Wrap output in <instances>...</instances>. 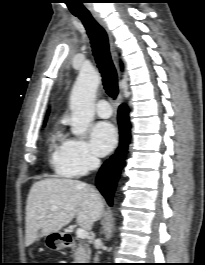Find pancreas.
Returning <instances> with one entry per match:
<instances>
[{"label":"pancreas","mask_w":205,"mask_h":265,"mask_svg":"<svg viewBox=\"0 0 205 265\" xmlns=\"http://www.w3.org/2000/svg\"><path fill=\"white\" fill-rule=\"evenodd\" d=\"M73 258L76 263H85L90 259V249L88 246H82L79 244V247L74 251Z\"/></svg>","instance_id":"pancreas-1"}]
</instances>
